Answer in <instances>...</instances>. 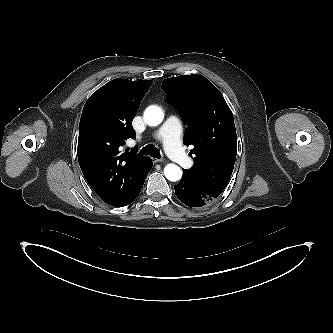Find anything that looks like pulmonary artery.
<instances>
[{"label":"pulmonary artery","mask_w":333,"mask_h":333,"mask_svg":"<svg viewBox=\"0 0 333 333\" xmlns=\"http://www.w3.org/2000/svg\"><path fill=\"white\" fill-rule=\"evenodd\" d=\"M156 138L164 144L167 154L182 167L192 166V160L184 152L181 145L182 125L176 116H169L156 132Z\"/></svg>","instance_id":"obj_1"}]
</instances>
